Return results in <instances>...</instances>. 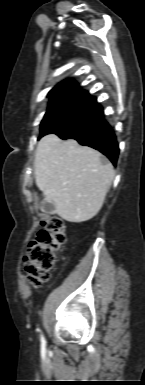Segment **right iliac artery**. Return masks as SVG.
I'll list each match as a JSON object with an SVG mask.
<instances>
[{"mask_svg": "<svg viewBox=\"0 0 145 385\" xmlns=\"http://www.w3.org/2000/svg\"><path fill=\"white\" fill-rule=\"evenodd\" d=\"M41 342H42L43 345L45 344V339H44L43 336H41Z\"/></svg>", "mask_w": 145, "mask_h": 385, "instance_id": "right-iliac-artery-1", "label": "right iliac artery"}]
</instances>
